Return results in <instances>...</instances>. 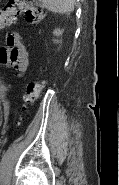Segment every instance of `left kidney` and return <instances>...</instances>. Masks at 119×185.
Segmentation results:
<instances>
[{"label": "left kidney", "mask_w": 119, "mask_h": 185, "mask_svg": "<svg viewBox=\"0 0 119 185\" xmlns=\"http://www.w3.org/2000/svg\"><path fill=\"white\" fill-rule=\"evenodd\" d=\"M63 34V29H55L53 31V35L56 37H60ZM55 43H59V40H54Z\"/></svg>", "instance_id": "1"}]
</instances>
